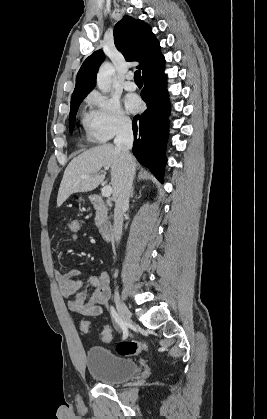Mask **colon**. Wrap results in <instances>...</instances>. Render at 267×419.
<instances>
[{"label": "colon", "mask_w": 267, "mask_h": 419, "mask_svg": "<svg viewBox=\"0 0 267 419\" xmlns=\"http://www.w3.org/2000/svg\"><path fill=\"white\" fill-rule=\"evenodd\" d=\"M82 226V221L80 219H72L68 222V229L72 235H79V230ZM90 329V322L84 320L80 324V330L83 333H87ZM102 341L107 343L111 340V330L109 327H103L101 333ZM148 345L144 342L125 340L121 341L116 346V351L121 356H134L138 353L147 350Z\"/></svg>", "instance_id": "1"}]
</instances>
